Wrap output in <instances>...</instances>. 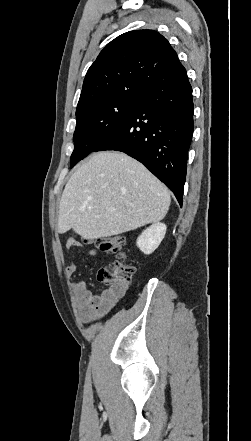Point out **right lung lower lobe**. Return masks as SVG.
I'll return each instance as SVG.
<instances>
[{
	"label": "right lung lower lobe",
	"mask_w": 251,
	"mask_h": 441,
	"mask_svg": "<svg viewBox=\"0 0 251 441\" xmlns=\"http://www.w3.org/2000/svg\"><path fill=\"white\" fill-rule=\"evenodd\" d=\"M193 111L192 87L184 68L150 87L94 152L116 150L135 158L173 191L182 206Z\"/></svg>",
	"instance_id": "obj_1"
}]
</instances>
